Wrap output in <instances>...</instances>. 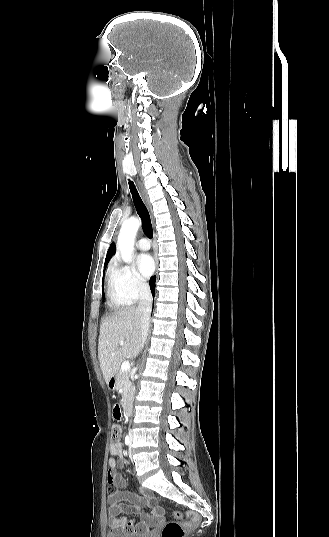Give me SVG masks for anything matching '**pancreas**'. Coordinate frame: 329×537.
<instances>
[{
  "label": "pancreas",
  "instance_id": "pancreas-1",
  "mask_svg": "<svg viewBox=\"0 0 329 537\" xmlns=\"http://www.w3.org/2000/svg\"><path fill=\"white\" fill-rule=\"evenodd\" d=\"M116 387L122 389V397L124 401H127L133 392L132 383L129 379V372L122 371L120 368L116 374Z\"/></svg>",
  "mask_w": 329,
  "mask_h": 537
}]
</instances>
